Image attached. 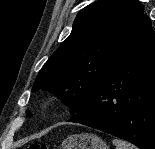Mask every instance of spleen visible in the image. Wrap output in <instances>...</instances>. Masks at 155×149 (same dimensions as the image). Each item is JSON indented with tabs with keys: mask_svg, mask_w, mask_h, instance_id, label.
Wrapping results in <instances>:
<instances>
[{
	"mask_svg": "<svg viewBox=\"0 0 155 149\" xmlns=\"http://www.w3.org/2000/svg\"><path fill=\"white\" fill-rule=\"evenodd\" d=\"M113 144L115 145L116 149H138L136 146L128 143L126 141L120 139H113Z\"/></svg>",
	"mask_w": 155,
	"mask_h": 149,
	"instance_id": "spleen-1",
	"label": "spleen"
}]
</instances>
